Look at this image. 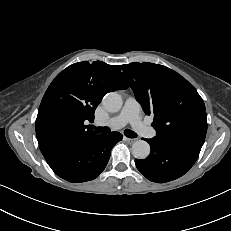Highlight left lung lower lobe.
Listing matches in <instances>:
<instances>
[{
    "label": "left lung lower lobe",
    "instance_id": "left-lung-lower-lobe-1",
    "mask_svg": "<svg viewBox=\"0 0 231 231\" xmlns=\"http://www.w3.org/2000/svg\"><path fill=\"white\" fill-rule=\"evenodd\" d=\"M150 155L135 160L138 170L150 181L164 183L183 176L197 160L204 142L188 138L145 139Z\"/></svg>",
    "mask_w": 231,
    "mask_h": 231
}]
</instances>
